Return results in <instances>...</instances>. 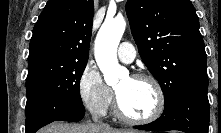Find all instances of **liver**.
<instances>
[{"instance_id":"1","label":"liver","mask_w":221,"mask_h":133,"mask_svg":"<svg viewBox=\"0 0 221 133\" xmlns=\"http://www.w3.org/2000/svg\"><path fill=\"white\" fill-rule=\"evenodd\" d=\"M39 133H138L131 129H113L110 126L102 127L97 124H79L72 125L62 122H54L45 128L41 129Z\"/></svg>"}]
</instances>
